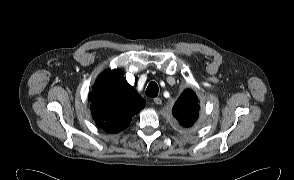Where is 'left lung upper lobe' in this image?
I'll list each match as a JSON object with an SVG mask.
<instances>
[{
    "instance_id": "5c2ea615",
    "label": "left lung upper lobe",
    "mask_w": 294,
    "mask_h": 180,
    "mask_svg": "<svg viewBox=\"0 0 294 180\" xmlns=\"http://www.w3.org/2000/svg\"><path fill=\"white\" fill-rule=\"evenodd\" d=\"M199 101L196 94L187 89L176 101L172 113L178 123L185 128H191L199 118Z\"/></svg>"
}]
</instances>
